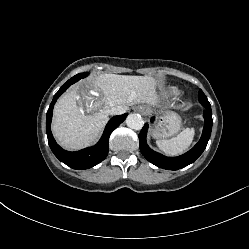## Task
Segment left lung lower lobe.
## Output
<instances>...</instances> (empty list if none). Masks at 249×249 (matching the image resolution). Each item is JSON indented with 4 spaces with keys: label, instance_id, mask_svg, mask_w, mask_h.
Returning a JSON list of instances; mask_svg holds the SVG:
<instances>
[{
    "label": "left lung lower lobe",
    "instance_id": "1",
    "mask_svg": "<svg viewBox=\"0 0 249 249\" xmlns=\"http://www.w3.org/2000/svg\"><path fill=\"white\" fill-rule=\"evenodd\" d=\"M200 103L205 107V125L203 133L198 143L185 154L178 157H166L149 148L146 143L148 124L146 123L139 134V145L142 155L152 164L167 170H178L193 163L205 150L212 130V111L207 97L203 94L199 96ZM154 118L151 119L153 121Z\"/></svg>",
    "mask_w": 249,
    "mask_h": 249
}]
</instances>
